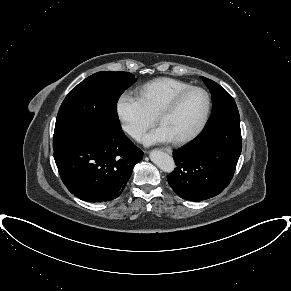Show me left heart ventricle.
I'll list each match as a JSON object with an SVG mask.
<instances>
[{"label": "left heart ventricle", "mask_w": 291, "mask_h": 291, "mask_svg": "<svg viewBox=\"0 0 291 291\" xmlns=\"http://www.w3.org/2000/svg\"><path fill=\"white\" fill-rule=\"evenodd\" d=\"M205 107V95L193 91L187 94L170 114L162 118L160 126L166 130L172 140L185 137L196 128Z\"/></svg>", "instance_id": "1"}]
</instances>
